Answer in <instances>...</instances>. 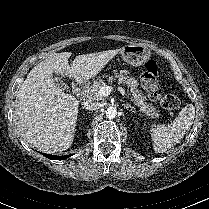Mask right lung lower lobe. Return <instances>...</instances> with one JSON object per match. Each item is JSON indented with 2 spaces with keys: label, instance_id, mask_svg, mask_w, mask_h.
Masks as SVG:
<instances>
[{
  "label": "right lung lower lobe",
  "instance_id": "98d812e1",
  "mask_svg": "<svg viewBox=\"0 0 209 209\" xmlns=\"http://www.w3.org/2000/svg\"><path fill=\"white\" fill-rule=\"evenodd\" d=\"M42 154L52 160H64L65 158H68L71 156V155L57 156V155H49L45 153H42Z\"/></svg>",
  "mask_w": 209,
  "mask_h": 209
}]
</instances>
